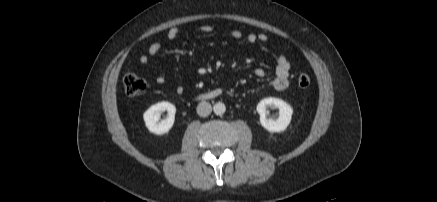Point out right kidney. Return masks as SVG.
<instances>
[{
  "label": "right kidney",
  "instance_id": "right-kidney-1",
  "mask_svg": "<svg viewBox=\"0 0 437 202\" xmlns=\"http://www.w3.org/2000/svg\"><path fill=\"white\" fill-rule=\"evenodd\" d=\"M167 111V118L160 120L162 112ZM176 108L170 102L162 101L152 105L145 111L143 118L146 127L151 133L156 135H163L169 132L175 121Z\"/></svg>",
  "mask_w": 437,
  "mask_h": 202
}]
</instances>
